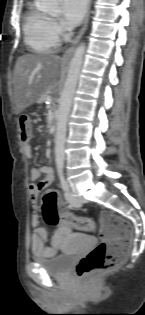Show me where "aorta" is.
I'll list each match as a JSON object with an SVG mask.
<instances>
[{
	"label": "aorta",
	"mask_w": 145,
	"mask_h": 315,
	"mask_svg": "<svg viewBox=\"0 0 145 315\" xmlns=\"http://www.w3.org/2000/svg\"><path fill=\"white\" fill-rule=\"evenodd\" d=\"M40 10L49 14H58L60 12L58 0H41ZM85 49L86 46L83 42L76 47L69 63L67 78L59 101L55 134V163L59 174L63 173L67 121L71 110L73 96L77 86Z\"/></svg>",
	"instance_id": "aorta-1"
}]
</instances>
